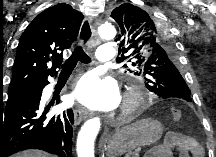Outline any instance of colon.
Listing matches in <instances>:
<instances>
[{
    "mask_svg": "<svg viewBox=\"0 0 216 157\" xmlns=\"http://www.w3.org/2000/svg\"><path fill=\"white\" fill-rule=\"evenodd\" d=\"M172 118L174 121H180L182 119V112L179 109L172 110Z\"/></svg>",
    "mask_w": 216,
    "mask_h": 157,
    "instance_id": "5ec220e1",
    "label": "colon"
}]
</instances>
